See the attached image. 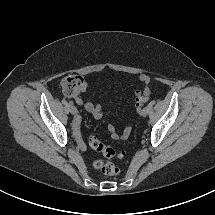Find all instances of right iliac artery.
<instances>
[{
  "mask_svg": "<svg viewBox=\"0 0 215 215\" xmlns=\"http://www.w3.org/2000/svg\"><path fill=\"white\" fill-rule=\"evenodd\" d=\"M73 105V102L72 101H69V106H72Z\"/></svg>",
  "mask_w": 215,
  "mask_h": 215,
  "instance_id": "right-iliac-artery-1",
  "label": "right iliac artery"
}]
</instances>
